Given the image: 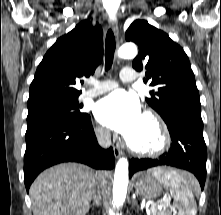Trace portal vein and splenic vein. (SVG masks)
<instances>
[{
  "instance_id": "portal-vein-and-splenic-vein-1",
  "label": "portal vein and splenic vein",
  "mask_w": 221,
  "mask_h": 215,
  "mask_svg": "<svg viewBox=\"0 0 221 215\" xmlns=\"http://www.w3.org/2000/svg\"><path fill=\"white\" fill-rule=\"evenodd\" d=\"M169 205V201L168 200H165L163 203H161L160 204V208L162 207V206H168ZM152 208H154V207H152ZM151 208V209H152ZM151 209L150 210H148V213L150 214V212H151ZM173 212H176V209L174 208L173 209Z\"/></svg>"
}]
</instances>
